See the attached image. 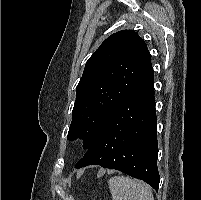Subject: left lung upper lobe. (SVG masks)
Listing matches in <instances>:
<instances>
[{
	"label": "left lung upper lobe",
	"mask_w": 201,
	"mask_h": 200,
	"mask_svg": "<svg viewBox=\"0 0 201 200\" xmlns=\"http://www.w3.org/2000/svg\"><path fill=\"white\" fill-rule=\"evenodd\" d=\"M153 70L144 40L133 30L109 36L86 62L76 87L68 139L88 149L116 105Z\"/></svg>",
	"instance_id": "1"
}]
</instances>
